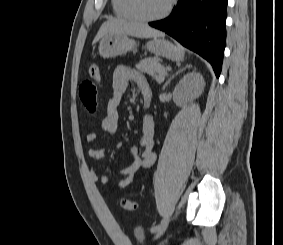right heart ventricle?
I'll use <instances>...</instances> for the list:
<instances>
[{"label":"right heart ventricle","instance_id":"right-heart-ventricle-1","mask_svg":"<svg viewBox=\"0 0 283 245\" xmlns=\"http://www.w3.org/2000/svg\"><path fill=\"white\" fill-rule=\"evenodd\" d=\"M114 14L122 19H135L128 8L127 0H112Z\"/></svg>","mask_w":283,"mask_h":245}]
</instances>
